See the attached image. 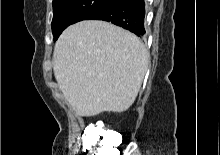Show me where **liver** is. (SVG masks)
<instances>
[{
    "instance_id": "1",
    "label": "liver",
    "mask_w": 220,
    "mask_h": 155,
    "mask_svg": "<svg viewBox=\"0 0 220 155\" xmlns=\"http://www.w3.org/2000/svg\"><path fill=\"white\" fill-rule=\"evenodd\" d=\"M148 52L134 34L111 23L84 20L57 40L53 70L78 116L123 112L135 101L148 68Z\"/></svg>"
}]
</instances>
